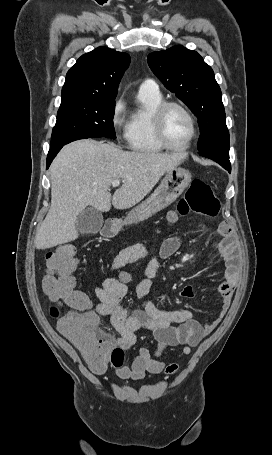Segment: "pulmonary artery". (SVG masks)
<instances>
[{
  "label": "pulmonary artery",
  "instance_id": "pulmonary-artery-1",
  "mask_svg": "<svg viewBox=\"0 0 272 455\" xmlns=\"http://www.w3.org/2000/svg\"><path fill=\"white\" fill-rule=\"evenodd\" d=\"M139 91L159 92V88L154 80L146 79L141 83Z\"/></svg>",
  "mask_w": 272,
  "mask_h": 455
}]
</instances>
